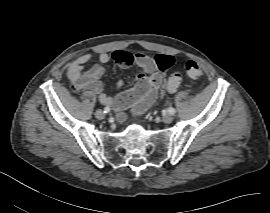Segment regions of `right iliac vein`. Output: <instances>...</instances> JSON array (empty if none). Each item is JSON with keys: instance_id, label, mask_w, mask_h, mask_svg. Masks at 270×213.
I'll use <instances>...</instances> for the list:
<instances>
[{"instance_id": "obj_1", "label": "right iliac vein", "mask_w": 270, "mask_h": 213, "mask_svg": "<svg viewBox=\"0 0 270 213\" xmlns=\"http://www.w3.org/2000/svg\"><path fill=\"white\" fill-rule=\"evenodd\" d=\"M95 116L98 118V119H103L105 117V114L104 112L101 110V109H98L96 110L95 112Z\"/></svg>"}]
</instances>
